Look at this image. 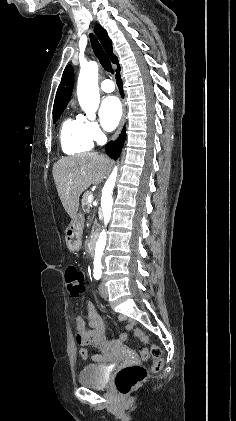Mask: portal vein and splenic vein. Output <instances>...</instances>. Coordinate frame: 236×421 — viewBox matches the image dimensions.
Listing matches in <instances>:
<instances>
[{"label":"portal vein and splenic vein","instance_id":"18ae733b","mask_svg":"<svg viewBox=\"0 0 236 421\" xmlns=\"http://www.w3.org/2000/svg\"><path fill=\"white\" fill-rule=\"evenodd\" d=\"M91 198H92V194H89L88 200H91Z\"/></svg>","mask_w":236,"mask_h":421}]
</instances>
